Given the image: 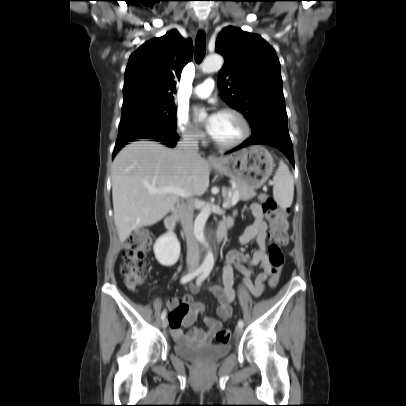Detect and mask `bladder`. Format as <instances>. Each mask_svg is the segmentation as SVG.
Segmentation results:
<instances>
[{
  "instance_id": "31cf9c89",
  "label": "bladder",
  "mask_w": 406,
  "mask_h": 406,
  "mask_svg": "<svg viewBox=\"0 0 406 406\" xmlns=\"http://www.w3.org/2000/svg\"><path fill=\"white\" fill-rule=\"evenodd\" d=\"M174 352L181 358L206 362L219 359L230 352L229 345L199 346L187 342H176L173 346Z\"/></svg>"
}]
</instances>
